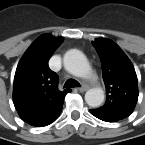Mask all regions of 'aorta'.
I'll list each match as a JSON object with an SVG mask.
<instances>
[{
    "instance_id": "aorta-1",
    "label": "aorta",
    "mask_w": 145,
    "mask_h": 145,
    "mask_svg": "<svg viewBox=\"0 0 145 145\" xmlns=\"http://www.w3.org/2000/svg\"><path fill=\"white\" fill-rule=\"evenodd\" d=\"M66 69L77 77L87 78L91 74V68L85 56L76 50L69 51L64 56ZM104 91L102 88H93L86 92L85 101L92 107L97 108L104 102Z\"/></svg>"
}]
</instances>
